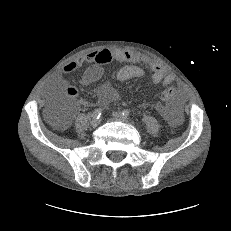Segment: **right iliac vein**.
I'll use <instances>...</instances> for the list:
<instances>
[{
	"mask_svg": "<svg viewBox=\"0 0 231 231\" xmlns=\"http://www.w3.org/2000/svg\"><path fill=\"white\" fill-rule=\"evenodd\" d=\"M100 124V120L97 119V118H93L92 121H91V125L93 127H97L98 125Z\"/></svg>",
	"mask_w": 231,
	"mask_h": 231,
	"instance_id": "obj_1",
	"label": "right iliac vein"
}]
</instances>
